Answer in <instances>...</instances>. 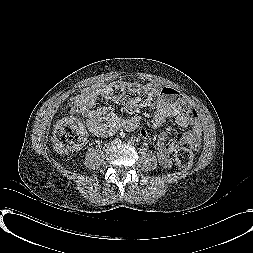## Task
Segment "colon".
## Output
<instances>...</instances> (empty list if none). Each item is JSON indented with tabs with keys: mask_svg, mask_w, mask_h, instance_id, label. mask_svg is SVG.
Returning a JSON list of instances; mask_svg holds the SVG:
<instances>
[{
	"mask_svg": "<svg viewBox=\"0 0 253 253\" xmlns=\"http://www.w3.org/2000/svg\"><path fill=\"white\" fill-rule=\"evenodd\" d=\"M144 86L114 82L105 85L101 93L104 97L143 106L150 103V94ZM86 134L83 125L74 117L62 120L55 128L53 143L62 152H72L85 141ZM176 163L180 168H188L192 164V153L186 148H180L175 154Z\"/></svg>",
	"mask_w": 253,
	"mask_h": 253,
	"instance_id": "colon-1",
	"label": "colon"
}]
</instances>
